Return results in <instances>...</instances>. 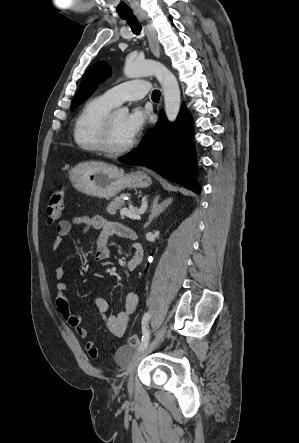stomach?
<instances>
[{
	"instance_id": "stomach-1",
	"label": "stomach",
	"mask_w": 299,
	"mask_h": 443,
	"mask_svg": "<svg viewBox=\"0 0 299 443\" xmlns=\"http://www.w3.org/2000/svg\"><path fill=\"white\" fill-rule=\"evenodd\" d=\"M74 188L84 194L110 199L125 188H147L151 178L142 171L124 174L114 165L81 163L69 172Z\"/></svg>"
}]
</instances>
